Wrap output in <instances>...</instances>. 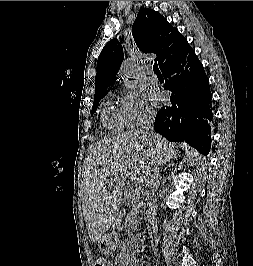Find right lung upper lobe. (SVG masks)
<instances>
[{
	"label": "right lung upper lobe",
	"instance_id": "cb5924a9",
	"mask_svg": "<svg viewBox=\"0 0 253 266\" xmlns=\"http://www.w3.org/2000/svg\"><path fill=\"white\" fill-rule=\"evenodd\" d=\"M133 38L139 49L155 53L160 69L181 58L191 47L187 40L158 12L142 8L132 26ZM124 59L123 48L117 39L110 40L97 60L95 95L107 93L108 86L117 79L116 74Z\"/></svg>",
	"mask_w": 253,
	"mask_h": 266
}]
</instances>
